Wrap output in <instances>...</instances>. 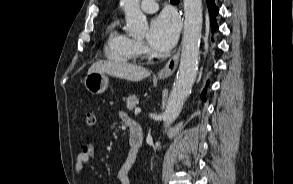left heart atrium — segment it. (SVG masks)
<instances>
[{"label": "left heart atrium", "instance_id": "39dd6f15", "mask_svg": "<svg viewBox=\"0 0 293 184\" xmlns=\"http://www.w3.org/2000/svg\"><path fill=\"white\" fill-rule=\"evenodd\" d=\"M177 17L168 12L156 16L150 23L148 42L158 52H166L173 47L179 34Z\"/></svg>", "mask_w": 293, "mask_h": 184}]
</instances>
